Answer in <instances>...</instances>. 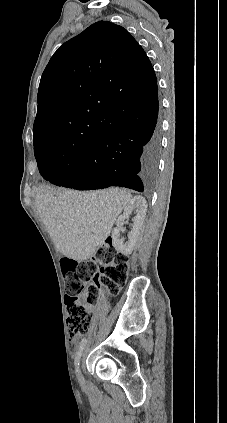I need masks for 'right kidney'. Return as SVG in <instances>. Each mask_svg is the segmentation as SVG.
Listing matches in <instances>:
<instances>
[{
	"label": "right kidney",
	"mask_w": 227,
	"mask_h": 423,
	"mask_svg": "<svg viewBox=\"0 0 227 423\" xmlns=\"http://www.w3.org/2000/svg\"><path fill=\"white\" fill-rule=\"evenodd\" d=\"M135 211L136 215L133 217V225L131 231L128 233V241H123L120 237V229L124 223V219L130 217V213ZM147 211V202L142 196H134L131 202H129L127 208L123 211L122 215H119L116 219L117 227H114L112 231V243L117 249L124 255H130L134 249L135 241L140 233V229L143 225L144 217Z\"/></svg>",
	"instance_id": "obj_1"
}]
</instances>
